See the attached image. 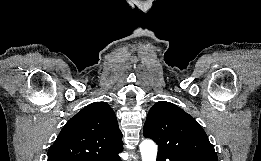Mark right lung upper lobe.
<instances>
[{"mask_svg":"<svg viewBox=\"0 0 261 161\" xmlns=\"http://www.w3.org/2000/svg\"><path fill=\"white\" fill-rule=\"evenodd\" d=\"M115 113L106 102L92 103L73 116L48 151L47 161H81L123 149Z\"/></svg>","mask_w":261,"mask_h":161,"instance_id":"cb5924a9","label":"right lung upper lobe"}]
</instances>
